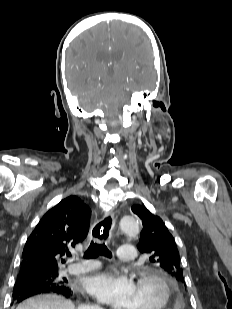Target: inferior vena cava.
<instances>
[{"instance_id": "inferior-vena-cava-1", "label": "inferior vena cava", "mask_w": 232, "mask_h": 309, "mask_svg": "<svg viewBox=\"0 0 232 309\" xmlns=\"http://www.w3.org/2000/svg\"><path fill=\"white\" fill-rule=\"evenodd\" d=\"M79 309H102V308H100L99 306H88V307H82Z\"/></svg>"}]
</instances>
